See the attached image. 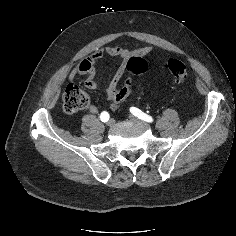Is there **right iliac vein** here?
Listing matches in <instances>:
<instances>
[{
	"label": "right iliac vein",
	"instance_id": "right-iliac-vein-1",
	"mask_svg": "<svg viewBox=\"0 0 236 236\" xmlns=\"http://www.w3.org/2000/svg\"><path fill=\"white\" fill-rule=\"evenodd\" d=\"M114 124H115V121H114L113 119H110V120L108 121V123H107V125H108L109 127H113Z\"/></svg>",
	"mask_w": 236,
	"mask_h": 236
}]
</instances>
